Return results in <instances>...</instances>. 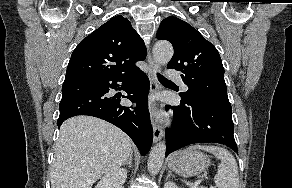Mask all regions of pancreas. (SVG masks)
I'll list each match as a JSON object with an SVG mask.
<instances>
[{"label": "pancreas", "mask_w": 292, "mask_h": 188, "mask_svg": "<svg viewBox=\"0 0 292 188\" xmlns=\"http://www.w3.org/2000/svg\"><path fill=\"white\" fill-rule=\"evenodd\" d=\"M199 188H205V187L201 186V187H199Z\"/></svg>", "instance_id": "1"}]
</instances>
